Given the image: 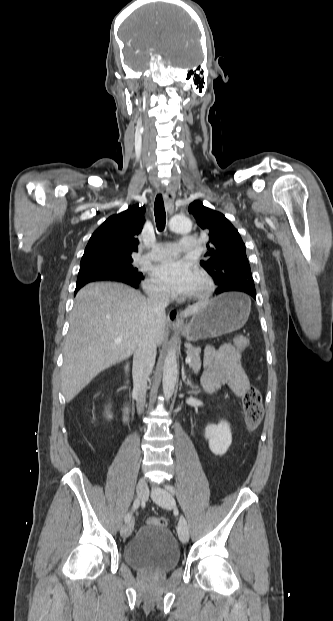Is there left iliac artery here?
I'll use <instances>...</instances> for the list:
<instances>
[{
    "instance_id": "1",
    "label": "left iliac artery",
    "mask_w": 333,
    "mask_h": 621,
    "mask_svg": "<svg viewBox=\"0 0 333 621\" xmlns=\"http://www.w3.org/2000/svg\"><path fill=\"white\" fill-rule=\"evenodd\" d=\"M166 488H167V490H169L172 494H175L176 490H175V488H174L173 486L168 485Z\"/></svg>"
}]
</instances>
